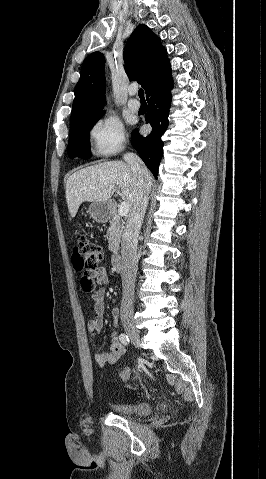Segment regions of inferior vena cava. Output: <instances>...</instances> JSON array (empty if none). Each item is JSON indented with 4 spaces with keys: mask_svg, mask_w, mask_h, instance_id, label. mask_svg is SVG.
I'll return each instance as SVG.
<instances>
[{
    "mask_svg": "<svg viewBox=\"0 0 266 479\" xmlns=\"http://www.w3.org/2000/svg\"><path fill=\"white\" fill-rule=\"evenodd\" d=\"M124 160L130 165L135 177V200L128 216L121 244L122 254V301L120 307L121 320L132 319L134 314L133 298L135 278L138 268V236L148 205L151 190V176L141 159L126 153Z\"/></svg>",
    "mask_w": 266,
    "mask_h": 479,
    "instance_id": "602c4592",
    "label": "inferior vena cava"
}]
</instances>
